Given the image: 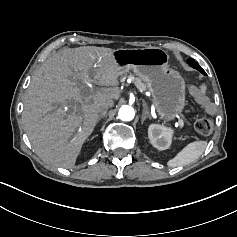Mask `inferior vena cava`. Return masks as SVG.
Masks as SVG:
<instances>
[{
    "label": "inferior vena cava",
    "instance_id": "obj_1",
    "mask_svg": "<svg viewBox=\"0 0 237 237\" xmlns=\"http://www.w3.org/2000/svg\"><path fill=\"white\" fill-rule=\"evenodd\" d=\"M114 105L113 99H106L100 103V106L104 109L112 107Z\"/></svg>",
    "mask_w": 237,
    "mask_h": 237
}]
</instances>
